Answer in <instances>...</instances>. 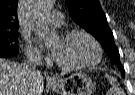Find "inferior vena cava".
<instances>
[{"label": "inferior vena cava", "instance_id": "602c4592", "mask_svg": "<svg viewBox=\"0 0 135 95\" xmlns=\"http://www.w3.org/2000/svg\"><path fill=\"white\" fill-rule=\"evenodd\" d=\"M41 64H42V61H41L40 55L35 52L34 53L32 52V53H29L28 60L24 64V68L29 74H35L37 72L36 67Z\"/></svg>", "mask_w": 135, "mask_h": 95}]
</instances>
